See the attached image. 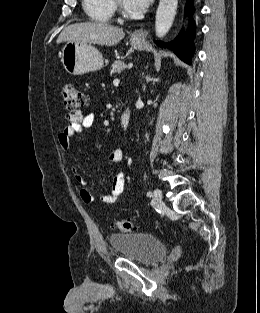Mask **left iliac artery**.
<instances>
[{"label":"left iliac artery","instance_id":"1","mask_svg":"<svg viewBox=\"0 0 260 313\" xmlns=\"http://www.w3.org/2000/svg\"><path fill=\"white\" fill-rule=\"evenodd\" d=\"M147 196L151 197L152 196V192H147Z\"/></svg>","mask_w":260,"mask_h":313}]
</instances>
